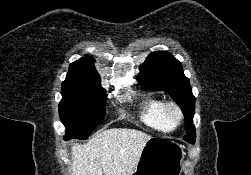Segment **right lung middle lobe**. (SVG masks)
<instances>
[{
	"label": "right lung middle lobe",
	"instance_id": "obj_1",
	"mask_svg": "<svg viewBox=\"0 0 251 175\" xmlns=\"http://www.w3.org/2000/svg\"><path fill=\"white\" fill-rule=\"evenodd\" d=\"M61 93L59 115L66 127L64 139H87V136L105 117V90L62 84Z\"/></svg>",
	"mask_w": 251,
	"mask_h": 175
}]
</instances>
